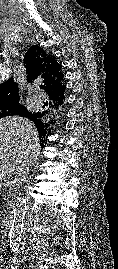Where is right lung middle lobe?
Here are the masks:
<instances>
[{
    "label": "right lung middle lobe",
    "instance_id": "obj_1",
    "mask_svg": "<svg viewBox=\"0 0 118 269\" xmlns=\"http://www.w3.org/2000/svg\"><path fill=\"white\" fill-rule=\"evenodd\" d=\"M25 107L19 104H12L7 106L0 107V118L13 116V115H20L21 111Z\"/></svg>",
    "mask_w": 118,
    "mask_h": 269
}]
</instances>
